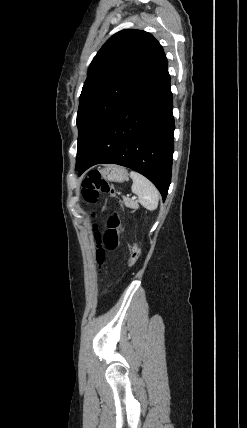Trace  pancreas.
<instances>
[{"mask_svg":"<svg viewBox=\"0 0 247 428\" xmlns=\"http://www.w3.org/2000/svg\"><path fill=\"white\" fill-rule=\"evenodd\" d=\"M123 202L126 207L132 208V209H138L139 205L136 201H133L129 199L128 197L123 196Z\"/></svg>","mask_w":247,"mask_h":428,"instance_id":"1","label":"pancreas"}]
</instances>
